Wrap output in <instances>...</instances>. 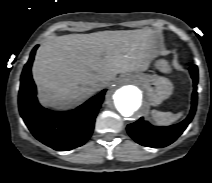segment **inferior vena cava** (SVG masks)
<instances>
[{
	"label": "inferior vena cava",
	"mask_w": 212,
	"mask_h": 183,
	"mask_svg": "<svg viewBox=\"0 0 212 183\" xmlns=\"http://www.w3.org/2000/svg\"><path fill=\"white\" fill-rule=\"evenodd\" d=\"M107 85V82L104 80H98L94 83V88L100 90Z\"/></svg>",
	"instance_id": "obj_1"
}]
</instances>
